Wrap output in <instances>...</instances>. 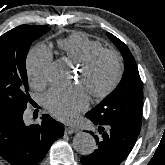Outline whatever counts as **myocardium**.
<instances>
[{"instance_id": "f54148a6", "label": "myocardium", "mask_w": 165, "mask_h": 165, "mask_svg": "<svg viewBox=\"0 0 165 165\" xmlns=\"http://www.w3.org/2000/svg\"><path fill=\"white\" fill-rule=\"evenodd\" d=\"M104 56L111 57L116 65V72L110 84L102 90H88V93L96 99H103L109 96L119 85L124 73V63L121 55L112 49L102 48L93 52L82 63L79 64V72L82 76V83H84L86 76L95 66L99 59Z\"/></svg>"}]
</instances>
